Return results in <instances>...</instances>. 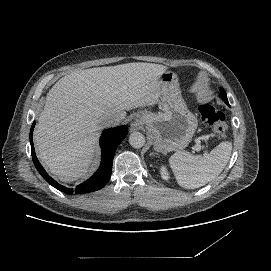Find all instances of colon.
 <instances>
[{"instance_id": "1", "label": "colon", "mask_w": 271, "mask_h": 271, "mask_svg": "<svg viewBox=\"0 0 271 271\" xmlns=\"http://www.w3.org/2000/svg\"><path fill=\"white\" fill-rule=\"evenodd\" d=\"M198 110L202 121L212 126L218 138H224L227 131V123L224 114L213 105L207 103L201 104Z\"/></svg>"}]
</instances>
